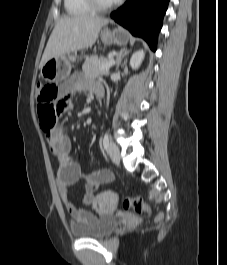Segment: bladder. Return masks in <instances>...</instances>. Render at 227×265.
<instances>
[{"mask_svg":"<svg viewBox=\"0 0 227 265\" xmlns=\"http://www.w3.org/2000/svg\"><path fill=\"white\" fill-rule=\"evenodd\" d=\"M116 227V220L112 216H103L88 224H74L71 234L79 239H102L108 236Z\"/></svg>","mask_w":227,"mask_h":265,"instance_id":"31cf9c89","label":"bladder"}]
</instances>
